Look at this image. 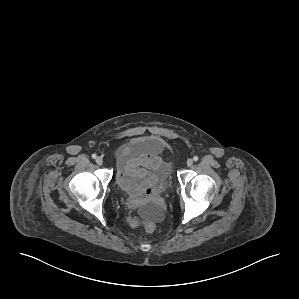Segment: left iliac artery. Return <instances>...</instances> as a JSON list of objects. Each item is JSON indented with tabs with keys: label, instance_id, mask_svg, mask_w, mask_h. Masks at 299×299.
I'll return each instance as SVG.
<instances>
[{
	"label": "left iliac artery",
	"instance_id": "1",
	"mask_svg": "<svg viewBox=\"0 0 299 299\" xmlns=\"http://www.w3.org/2000/svg\"><path fill=\"white\" fill-rule=\"evenodd\" d=\"M193 160H194V161H198V157H197V156H194V157H193Z\"/></svg>",
	"mask_w": 299,
	"mask_h": 299
}]
</instances>
